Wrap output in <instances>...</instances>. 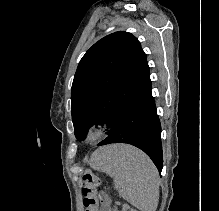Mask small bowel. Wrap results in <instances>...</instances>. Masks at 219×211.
<instances>
[{
    "instance_id": "1",
    "label": "small bowel",
    "mask_w": 219,
    "mask_h": 211,
    "mask_svg": "<svg viewBox=\"0 0 219 211\" xmlns=\"http://www.w3.org/2000/svg\"><path fill=\"white\" fill-rule=\"evenodd\" d=\"M98 211H111L110 202L108 200L103 201Z\"/></svg>"
}]
</instances>
